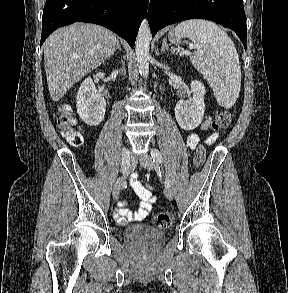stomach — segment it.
Here are the masks:
<instances>
[{
	"instance_id": "stomach-1",
	"label": "stomach",
	"mask_w": 288,
	"mask_h": 293,
	"mask_svg": "<svg viewBox=\"0 0 288 293\" xmlns=\"http://www.w3.org/2000/svg\"><path fill=\"white\" fill-rule=\"evenodd\" d=\"M169 39L173 42H178L180 41V38H177L176 35L171 31L169 32Z\"/></svg>"
}]
</instances>
